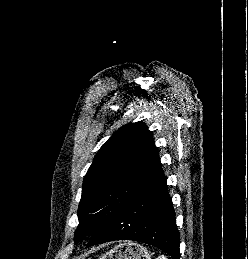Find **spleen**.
Listing matches in <instances>:
<instances>
[{
    "label": "spleen",
    "instance_id": "1",
    "mask_svg": "<svg viewBox=\"0 0 248 259\" xmlns=\"http://www.w3.org/2000/svg\"><path fill=\"white\" fill-rule=\"evenodd\" d=\"M157 259H168L165 255H160L157 257Z\"/></svg>",
    "mask_w": 248,
    "mask_h": 259
}]
</instances>
